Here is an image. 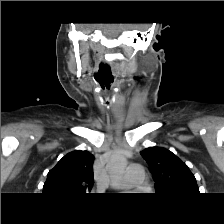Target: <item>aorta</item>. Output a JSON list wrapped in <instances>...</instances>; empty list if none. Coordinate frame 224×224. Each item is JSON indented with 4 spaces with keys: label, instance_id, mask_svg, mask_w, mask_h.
Segmentation results:
<instances>
[{
    "label": "aorta",
    "instance_id": "obj_1",
    "mask_svg": "<svg viewBox=\"0 0 224 224\" xmlns=\"http://www.w3.org/2000/svg\"><path fill=\"white\" fill-rule=\"evenodd\" d=\"M127 159L120 154L113 155L107 164V171L112 181H117L122 178Z\"/></svg>",
    "mask_w": 224,
    "mask_h": 224
}]
</instances>
